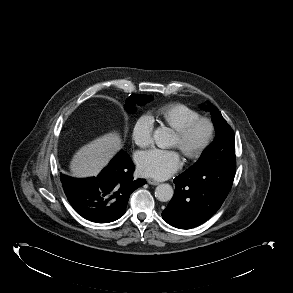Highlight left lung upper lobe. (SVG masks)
Masks as SVG:
<instances>
[{"label":"left lung upper lobe","instance_id":"obj_1","mask_svg":"<svg viewBox=\"0 0 293 293\" xmlns=\"http://www.w3.org/2000/svg\"><path fill=\"white\" fill-rule=\"evenodd\" d=\"M207 109L212 115L216 129L214 142L202 153L199 161L189 169H221L230 163L236 164L235 138L232 128L227 124L220 111L207 101Z\"/></svg>","mask_w":293,"mask_h":293}]
</instances>
